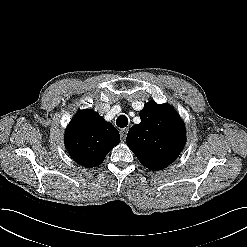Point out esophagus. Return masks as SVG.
Instances as JSON below:
<instances>
[{"instance_id": "34e87169", "label": "esophagus", "mask_w": 247, "mask_h": 247, "mask_svg": "<svg viewBox=\"0 0 247 247\" xmlns=\"http://www.w3.org/2000/svg\"><path fill=\"white\" fill-rule=\"evenodd\" d=\"M127 133H128V128H123V129L120 130L121 140H125L126 139Z\"/></svg>"}]
</instances>
